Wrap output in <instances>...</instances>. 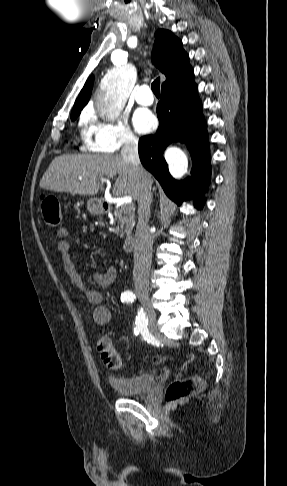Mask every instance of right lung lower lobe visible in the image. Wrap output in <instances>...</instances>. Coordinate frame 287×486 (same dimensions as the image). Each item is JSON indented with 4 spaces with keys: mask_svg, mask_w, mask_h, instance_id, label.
Masks as SVG:
<instances>
[{
    "mask_svg": "<svg viewBox=\"0 0 287 486\" xmlns=\"http://www.w3.org/2000/svg\"><path fill=\"white\" fill-rule=\"evenodd\" d=\"M156 111L159 128L155 135L140 139L139 157L167 196L181 204L183 200L205 192L211 175L208 134L193 76L175 86L162 88ZM177 141L187 145L193 161L192 177L181 182L172 178L163 158L166 147ZM203 205L204 200L196 199L194 206L197 209Z\"/></svg>",
    "mask_w": 287,
    "mask_h": 486,
    "instance_id": "obj_1",
    "label": "right lung lower lobe"
}]
</instances>
